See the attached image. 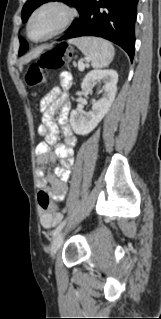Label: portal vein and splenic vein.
Segmentation results:
<instances>
[{"mask_svg": "<svg viewBox=\"0 0 161 319\" xmlns=\"http://www.w3.org/2000/svg\"><path fill=\"white\" fill-rule=\"evenodd\" d=\"M84 67H85L84 63H83L82 61H79V63H78V69H79L80 71H83V70H84Z\"/></svg>", "mask_w": 161, "mask_h": 319, "instance_id": "portal-vein-and-splenic-vein-1", "label": "portal vein and splenic vein"}]
</instances>
